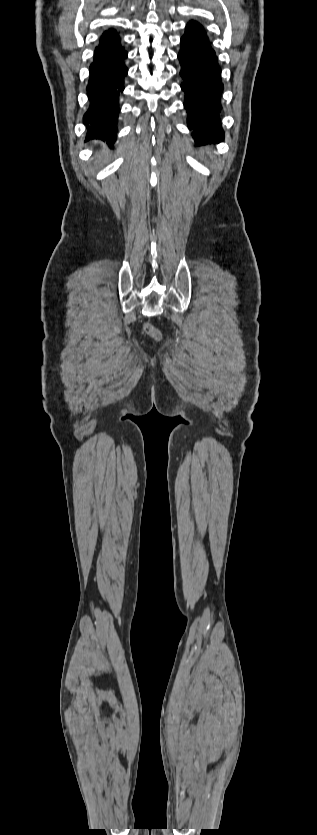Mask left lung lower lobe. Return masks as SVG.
<instances>
[{
	"label": "left lung lower lobe",
	"mask_w": 317,
	"mask_h": 835,
	"mask_svg": "<svg viewBox=\"0 0 317 835\" xmlns=\"http://www.w3.org/2000/svg\"><path fill=\"white\" fill-rule=\"evenodd\" d=\"M181 64V84L185 92L184 107L188 114V127L197 144L222 141L224 131L218 114L221 109L219 96L223 91L221 69L203 27L190 21L181 38L178 54Z\"/></svg>",
	"instance_id": "0a47b994"
}]
</instances>
